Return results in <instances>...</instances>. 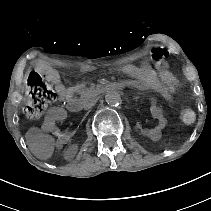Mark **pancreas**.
<instances>
[{"label": "pancreas", "mask_w": 211, "mask_h": 211, "mask_svg": "<svg viewBox=\"0 0 211 211\" xmlns=\"http://www.w3.org/2000/svg\"><path fill=\"white\" fill-rule=\"evenodd\" d=\"M92 92H93L92 89H83L82 91H80L79 95L81 101L83 102L88 101L93 96Z\"/></svg>", "instance_id": "1"}]
</instances>
